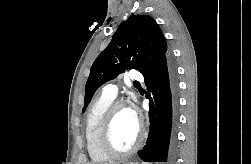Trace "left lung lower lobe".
<instances>
[{"mask_svg": "<svg viewBox=\"0 0 251 164\" xmlns=\"http://www.w3.org/2000/svg\"><path fill=\"white\" fill-rule=\"evenodd\" d=\"M144 80L150 131L138 155L145 162L171 163L178 120V83L170 55L144 76Z\"/></svg>", "mask_w": 251, "mask_h": 164, "instance_id": "1", "label": "left lung lower lobe"}]
</instances>
